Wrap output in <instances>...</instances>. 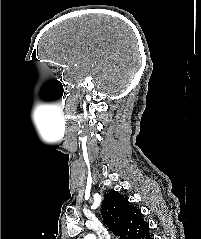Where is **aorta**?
I'll return each mask as SVG.
<instances>
[{"mask_svg":"<svg viewBox=\"0 0 201 239\" xmlns=\"http://www.w3.org/2000/svg\"><path fill=\"white\" fill-rule=\"evenodd\" d=\"M84 239H96V237L93 234H88L87 236L84 237Z\"/></svg>","mask_w":201,"mask_h":239,"instance_id":"1","label":"aorta"}]
</instances>
